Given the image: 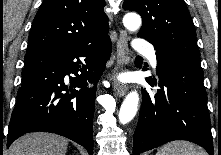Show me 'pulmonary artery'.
<instances>
[{
	"mask_svg": "<svg viewBox=\"0 0 221 155\" xmlns=\"http://www.w3.org/2000/svg\"><path fill=\"white\" fill-rule=\"evenodd\" d=\"M135 49L138 52L145 54L154 68L157 67L155 50L150 44L145 41L139 40L135 43Z\"/></svg>",
	"mask_w": 221,
	"mask_h": 155,
	"instance_id": "e3ab8cb5",
	"label": "pulmonary artery"
}]
</instances>
